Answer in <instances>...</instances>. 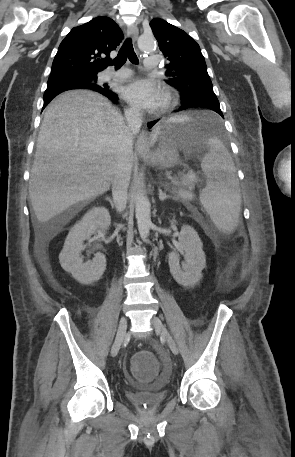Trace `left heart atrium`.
Wrapping results in <instances>:
<instances>
[{"mask_svg":"<svg viewBox=\"0 0 295 457\" xmlns=\"http://www.w3.org/2000/svg\"><path fill=\"white\" fill-rule=\"evenodd\" d=\"M123 98L133 107L153 111L164 102V91L158 83L150 79H136L127 84Z\"/></svg>","mask_w":295,"mask_h":457,"instance_id":"39dd6f15","label":"left heart atrium"}]
</instances>
